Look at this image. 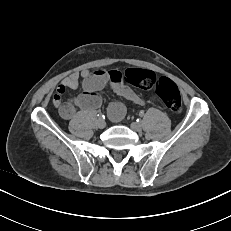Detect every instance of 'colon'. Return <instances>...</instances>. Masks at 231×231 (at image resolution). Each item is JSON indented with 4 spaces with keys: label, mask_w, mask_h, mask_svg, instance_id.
I'll return each mask as SVG.
<instances>
[{
    "label": "colon",
    "mask_w": 231,
    "mask_h": 231,
    "mask_svg": "<svg viewBox=\"0 0 231 231\" xmlns=\"http://www.w3.org/2000/svg\"><path fill=\"white\" fill-rule=\"evenodd\" d=\"M123 81L139 89H154L164 105L173 112H179L182 107L181 95L178 87L170 79L156 77L145 69H128L123 73Z\"/></svg>",
    "instance_id": "1"
}]
</instances>
